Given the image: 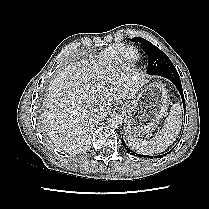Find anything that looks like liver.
I'll return each instance as SVG.
<instances>
[{
	"mask_svg": "<svg viewBox=\"0 0 209 209\" xmlns=\"http://www.w3.org/2000/svg\"><path fill=\"white\" fill-rule=\"evenodd\" d=\"M145 83L130 67L112 69L94 61L65 67L49 85L43 114L54 146L69 154L85 152L92 121L107 114L113 100L134 97Z\"/></svg>",
	"mask_w": 209,
	"mask_h": 209,
	"instance_id": "1",
	"label": "liver"
}]
</instances>
